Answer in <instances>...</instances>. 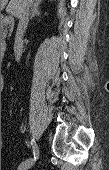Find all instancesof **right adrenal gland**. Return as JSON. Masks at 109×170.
I'll use <instances>...</instances> for the list:
<instances>
[{
	"instance_id": "1",
	"label": "right adrenal gland",
	"mask_w": 109,
	"mask_h": 170,
	"mask_svg": "<svg viewBox=\"0 0 109 170\" xmlns=\"http://www.w3.org/2000/svg\"><path fill=\"white\" fill-rule=\"evenodd\" d=\"M40 0H36L32 6V9H31V15H30V20L35 16H39L41 15V11H40Z\"/></svg>"
}]
</instances>
